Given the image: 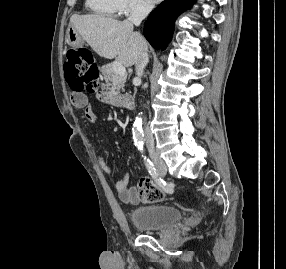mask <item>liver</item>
Listing matches in <instances>:
<instances>
[{
	"mask_svg": "<svg viewBox=\"0 0 286 269\" xmlns=\"http://www.w3.org/2000/svg\"><path fill=\"white\" fill-rule=\"evenodd\" d=\"M70 27H74L99 56L116 58L127 67L136 64L142 50L147 49L146 40L133 31V24L127 20L118 21L98 14H74Z\"/></svg>",
	"mask_w": 286,
	"mask_h": 269,
	"instance_id": "liver-1",
	"label": "liver"
}]
</instances>
